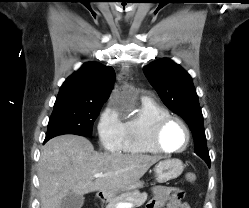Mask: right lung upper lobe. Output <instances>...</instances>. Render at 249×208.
I'll use <instances>...</instances> for the list:
<instances>
[{
    "mask_svg": "<svg viewBox=\"0 0 249 208\" xmlns=\"http://www.w3.org/2000/svg\"><path fill=\"white\" fill-rule=\"evenodd\" d=\"M115 72L112 67L97 62L85 63L66 79L54 106L76 103L103 104L113 88Z\"/></svg>",
    "mask_w": 249,
    "mask_h": 208,
    "instance_id": "1",
    "label": "right lung upper lobe"
}]
</instances>
